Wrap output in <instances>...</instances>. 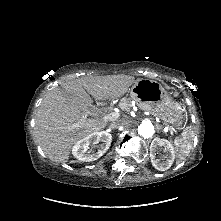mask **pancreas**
I'll use <instances>...</instances> for the list:
<instances>
[{
    "mask_svg": "<svg viewBox=\"0 0 221 221\" xmlns=\"http://www.w3.org/2000/svg\"><path fill=\"white\" fill-rule=\"evenodd\" d=\"M132 104H131V100L127 99V98H122L121 102H120V108L123 111H129L131 108Z\"/></svg>",
    "mask_w": 221,
    "mask_h": 221,
    "instance_id": "1",
    "label": "pancreas"
}]
</instances>
